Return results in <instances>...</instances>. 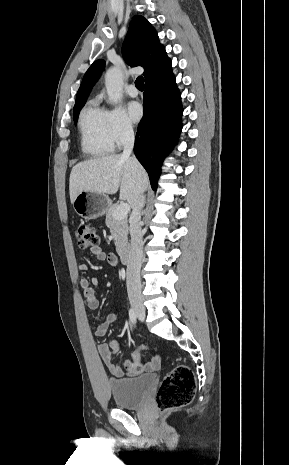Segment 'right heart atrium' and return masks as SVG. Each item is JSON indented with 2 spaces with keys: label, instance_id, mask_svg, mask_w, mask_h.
Returning a JSON list of instances; mask_svg holds the SVG:
<instances>
[{
  "label": "right heart atrium",
  "instance_id": "1",
  "mask_svg": "<svg viewBox=\"0 0 289 465\" xmlns=\"http://www.w3.org/2000/svg\"><path fill=\"white\" fill-rule=\"evenodd\" d=\"M107 127L114 146H122L134 138V127L120 107L107 110Z\"/></svg>",
  "mask_w": 289,
  "mask_h": 465
}]
</instances>
